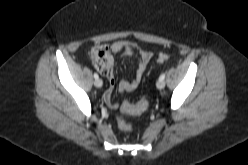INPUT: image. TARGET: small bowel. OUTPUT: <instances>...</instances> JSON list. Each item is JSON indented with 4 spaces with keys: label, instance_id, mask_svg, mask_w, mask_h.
Masks as SVG:
<instances>
[{
    "label": "small bowel",
    "instance_id": "obj_1",
    "mask_svg": "<svg viewBox=\"0 0 248 165\" xmlns=\"http://www.w3.org/2000/svg\"><path fill=\"white\" fill-rule=\"evenodd\" d=\"M111 50L115 54L130 52L138 58V67L134 78L131 81H121L117 84L112 68L103 72L108 81V86L105 91L106 99L110 100L113 90L117 86L119 92H130L138 87L141 79L147 69V66L152 59V52L141 48L139 45L128 41H115L111 45Z\"/></svg>",
    "mask_w": 248,
    "mask_h": 165
}]
</instances>
